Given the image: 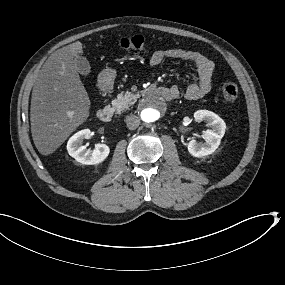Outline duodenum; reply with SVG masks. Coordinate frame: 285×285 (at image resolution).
I'll use <instances>...</instances> for the list:
<instances>
[{"label":"duodenum","mask_w":285,"mask_h":285,"mask_svg":"<svg viewBox=\"0 0 285 285\" xmlns=\"http://www.w3.org/2000/svg\"><path fill=\"white\" fill-rule=\"evenodd\" d=\"M100 89L104 93L107 92L109 89V84L102 82L100 84ZM149 91L153 94L161 96L166 100L175 99L177 97V94L173 89L164 86H152ZM97 117L102 122H109L113 117V109L109 106L103 107L97 111Z\"/></svg>","instance_id":"obj_1"}]
</instances>
